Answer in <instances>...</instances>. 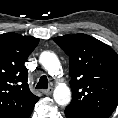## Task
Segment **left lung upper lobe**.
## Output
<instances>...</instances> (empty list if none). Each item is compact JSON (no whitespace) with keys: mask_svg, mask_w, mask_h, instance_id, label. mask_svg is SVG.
<instances>
[{"mask_svg":"<svg viewBox=\"0 0 118 118\" xmlns=\"http://www.w3.org/2000/svg\"><path fill=\"white\" fill-rule=\"evenodd\" d=\"M55 43L69 56L72 101L66 109L109 117L118 105V55L86 34L64 35Z\"/></svg>","mask_w":118,"mask_h":118,"instance_id":"1","label":"left lung upper lobe"}]
</instances>
